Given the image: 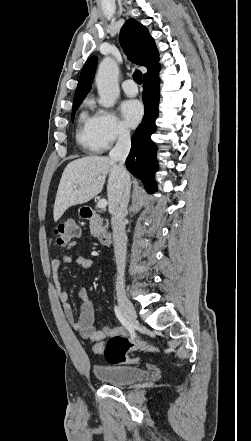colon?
Instances as JSON below:
<instances>
[{
	"mask_svg": "<svg viewBox=\"0 0 251 441\" xmlns=\"http://www.w3.org/2000/svg\"><path fill=\"white\" fill-rule=\"evenodd\" d=\"M80 234L79 226L72 220L59 224L55 230V240L59 246H64L77 238ZM95 353L102 354L106 361L112 365L135 364L138 358L131 357L129 353L135 350L149 351L154 354L161 352L160 348L144 341L129 342L122 336H113L106 343H98L93 347Z\"/></svg>",
	"mask_w": 251,
	"mask_h": 441,
	"instance_id": "1",
	"label": "colon"
}]
</instances>
